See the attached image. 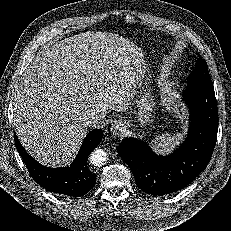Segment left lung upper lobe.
<instances>
[{
    "mask_svg": "<svg viewBox=\"0 0 231 231\" xmlns=\"http://www.w3.org/2000/svg\"><path fill=\"white\" fill-rule=\"evenodd\" d=\"M190 84H200L205 86H213L209 76L208 66L205 60L198 58L196 62V68L191 72Z\"/></svg>",
    "mask_w": 231,
    "mask_h": 231,
    "instance_id": "left-lung-upper-lobe-1",
    "label": "left lung upper lobe"
}]
</instances>
